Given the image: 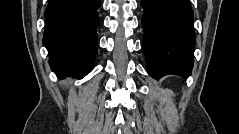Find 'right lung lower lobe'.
<instances>
[{
  "instance_id": "1",
  "label": "right lung lower lobe",
  "mask_w": 239,
  "mask_h": 134,
  "mask_svg": "<svg viewBox=\"0 0 239 134\" xmlns=\"http://www.w3.org/2000/svg\"><path fill=\"white\" fill-rule=\"evenodd\" d=\"M99 0H50L44 13L43 44L58 77L87 75L94 64Z\"/></svg>"
}]
</instances>
